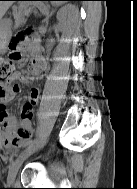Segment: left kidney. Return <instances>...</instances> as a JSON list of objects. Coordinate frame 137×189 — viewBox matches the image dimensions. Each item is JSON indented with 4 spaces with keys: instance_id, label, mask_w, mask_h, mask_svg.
<instances>
[{
    "instance_id": "obj_1",
    "label": "left kidney",
    "mask_w": 137,
    "mask_h": 189,
    "mask_svg": "<svg viewBox=\"0 0 137 189\" xmlns=\"http://www.w3.org/2000/svg\"><path fill=\"white\" fill-rule=\"evenodd\" d=\"M75 13V8L71 5H67L58 11L57 19L60 21L62 29L70 25L74 19Z\"/></svg>"
}]
</instances>
